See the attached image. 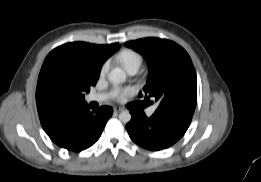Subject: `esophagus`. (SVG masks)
Instances as JSON below:
<instances>
[{"mask_svg": "<svg viewBox=\"0 0 261 182\" xmlns=\"http://www.w3.org/2000/svg\"><path fill=\"white\" fill-rule=\"evenodd\" d=\"M122 110H123L122 107H119V106H115V107H114V111H115V112H120V111H122Z\"/></svg>", "mask_w": 261, "mask_h": 182, "instance_id": "obj_1", "label": "esophagus"}]
</instances>
